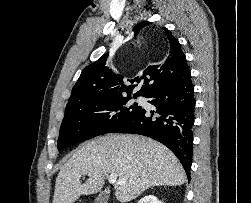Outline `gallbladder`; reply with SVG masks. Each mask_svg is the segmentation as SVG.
Here are the masks:
<instances>
[{
	"label": "gallbladder",
	"instance_id": "bac80fb5",
	"mask_svg": "<svg viewBox=\"0 0 251 203\" xmlns=\"http://www.w3.org/2000/svg\"><path fill=\"white\" fill-rule=\"evenodd\" d=\"M109 200V190H104L95 199V203H107Z\"/></svg>",
	"mask_w": 251,
	"mask_h": 203
}]
</instances>
